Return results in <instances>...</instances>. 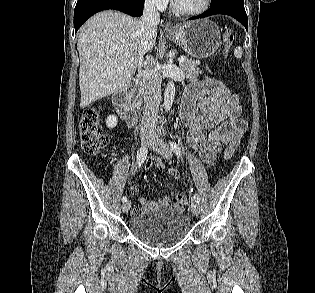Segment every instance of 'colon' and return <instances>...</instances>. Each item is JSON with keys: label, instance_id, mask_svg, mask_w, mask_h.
<instances>
[{"label": "colon", "instance_id": "1", "mask_svg": "<svg viewBox=\"0 0 315 293\" xmlns=\"http://www.w3.org/2000/svg\"><path fill=\"white\" fill-rule=\"evenodd\" d=\"M234 34L232 29H227L224 33V42L221 56L226 59L232 43ZM79 133L82 149L85 153L95 155L105 148L109 142V137L103 132L100 125V113L96 109H86L79 123ZM234 149L232 146L225 150V158H230ZM176 202L180 206L188 204V198L184 194H177Z\"/></svg>", "mask_w": 315, "mask_h": 293}]
</instances>
